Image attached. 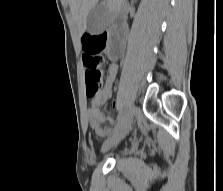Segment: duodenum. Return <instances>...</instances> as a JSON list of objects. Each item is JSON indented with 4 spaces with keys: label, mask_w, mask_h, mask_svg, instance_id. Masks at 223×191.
I'll use <instances>...</instances> for the list:
<instances>
[{
    "label": "duodenum",
    "mask_w": 223,
    "mask_h": 191,
    "mask_svg": "<svg viewBox=\"0 0 223 191\" xmlns=\"http://www.w3.org/2000/svg\"><path fill=\"white\" fill-rule=\"evenodd\" d=\"M116 35H117L119 41L116 45L111 47L110 52H109L112 59H116V58L120 57V55L122 53V42L121 41L125 36V29L118 28L116 30Z\"/></svg>",
    "instance_id": "duodenum-1"
}]
</instances>
